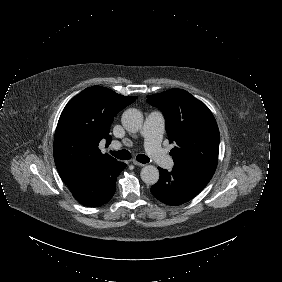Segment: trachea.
Segmentation results:
<instances>
[{"instance_id":"obj_1","label":"trachea","mask_w":282,"mask_h":282,"mask_svg":"<svg viewBox=\"0 0 282 282\" xmlns=\"http://www.w3.org/2000/svg\"><path fill=\"white\" fill-rule=\"evenodd\" d=\"M115 158L120 160H128L131 158V154L128 150H119V151H111L110 152ZM137 161L140 163H149L150 158H148L144 154L137 155Z\"/></svg>"}]
</instances>
